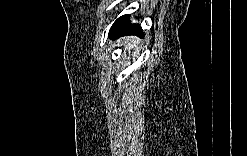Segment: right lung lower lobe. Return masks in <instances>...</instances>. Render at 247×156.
<instances>
[{
	"label": "right lung lower lobe",
	"mask_w": 247,
	"mask_h": 156,
	"mask_svg": "<svg viewBox=\"0 0 247 156\" xmlns=\"http://www.w3.org/2000/svg\"><path fill=\"white\" fill-rule=\"evenodd\" d=\"M129 17V15H123L114 22L109 34L110 38L114 39L118 36L128 34H135L143 37V31L140 25L131 24Z\"/></svg>",
	"instance_id": "right-lung-lower-lobe-1"
}]
</instances>
